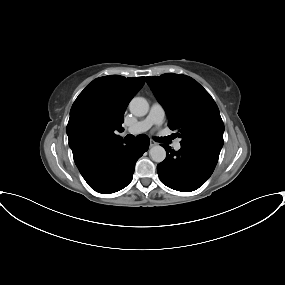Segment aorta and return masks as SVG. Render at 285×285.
<instances>
[{
    "instance_id": "1",
    "label": "aorta",
    "mask_w": 285,
    "mask_h": 285,
    "mask_svg": "<svg viewBox=\"0 0 285 285\" xmlns=\"http://www.w3.org/2000/svg\"><path fill=\"white\" fill-rule=\"evenodd\" d=\"M129 110L135 116H145L149 111V104L143 97H134L129 103ZM149 156L154 162L160 163L165 160L166 151L162 146L156 145L149 150Z\"/></svg>"
}]
</instances>
